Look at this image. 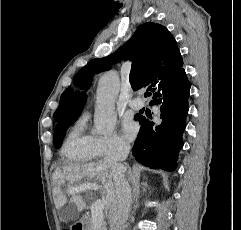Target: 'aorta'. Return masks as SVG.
<instances>
[{
  "mask_svg": "<svg viewBox=\"0 0 241 230\" xmlns=\"http://www.w3.org/2000/svg\"><path fill=\"white\" fill-rule=\"evenodd\" d=\"M119 89L120 79L116 71L107 72L99 79L93 134L108 136L113 133L117 121L115 101Z\"/></svg>",
  "mask_w": 241,
  "mask_h": 230,
  "instance_id": "762f6f07",
  "label": "aorta"
}]
</instances>
